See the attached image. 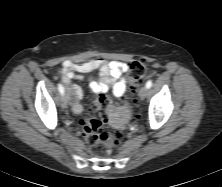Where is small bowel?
Returning a JSON list of instances; mask_svg holds the SVG:
<instances>
[{
  "label": "small bowel",
  "instance_id": "1",
  "mask_svg": "<svg viewBox=\"0 0 222 187\" xmlns=\"http://www.w3.org/2000/svg\"><path fill=\"white\" fill-rule=\"evenodd\" d=\"M96 70L100 71V79L89 80V87L94 93L104 95L111 90L114 96L121 97L126 92V63L115 60L107 61L104 59H92L84 63H74L69 60L64 61L59 69V74L68 92L72 96V108L77 114L81 113L83 110L81 103L83 91L78 85L71 84V82L72 80H82L83 74L91 73Z\"/></svg>",
  "mask_w": 222,
  "mask_h": 187
}]
</instances>
